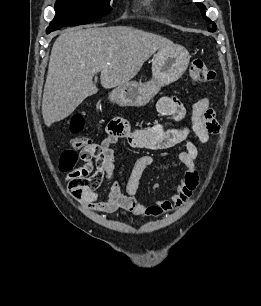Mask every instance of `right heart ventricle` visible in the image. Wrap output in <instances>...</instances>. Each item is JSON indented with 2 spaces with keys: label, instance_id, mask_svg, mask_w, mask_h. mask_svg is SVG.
Wrapping results in <instances>:
<instances>
[{
  "label": "right heart ventricle",
  "instance_id": "1",
  "mask_svg": "<svg viewBox=\"0 0 261 306\" xmlns=\"http://www.w3.org/2000/svg\"><path fill=\"white\" fill-rule=\"evenodd\" d=\"M150 0H144V3H148Z\"/></svg>",
  "mask_w": 261,
  "mask_h": 306
}]
</instances>
